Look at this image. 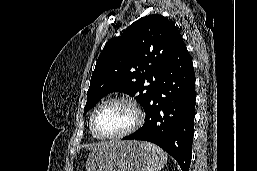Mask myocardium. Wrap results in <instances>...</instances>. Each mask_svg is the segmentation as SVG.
<instances>
[{
    "label": "myocardium",
    "mask_w": 257,
    "mask_h": 171,
    "mask_svg": "<svg viewBox=\"0 0 257 171\" xmlns=\"http://www.w3.org/2000/svg\"><path fill=\"white\" fill-rule=\"evenodd\" d=\"M117 103L127 104L128 106H130L132 108V110L134 111L135 116H136L134 124L129 129H127L119 134H115V135L101 134L97 130V127H96V120H97L99 113L107 106H110L112 104H117ZM143 122H144V113L135 100H133L132 98H129V97H124V96L123 97H115V98H112V99H109V100L103 102L96 108V110L94 111L92 118H91V131L97 138L108 139V140H117V139H122L124 137H127V136L135 133L142 126Z\"/></svg>",
    "instance_id": "1"
}]
</instances>
